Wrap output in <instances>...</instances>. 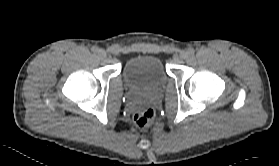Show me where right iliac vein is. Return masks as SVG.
I'll return each instance as SVG.
<instances>
[{
    "label": "right iliac vein",
    "instance_id": "1",
    "mask_svg": "<svg viewBox=\"0 0 279 166\" xmlns=\"http://www.w3.org/2000/svg\"><path fill=\"white\" fill-rule=\"evenodd\" d=\"M98 56L103 59V58L106 57V52L102 49H99L98 50Z\"/></svg>",
    "mask_w": 279,
    "mask_h": 166
}]
</instances>
